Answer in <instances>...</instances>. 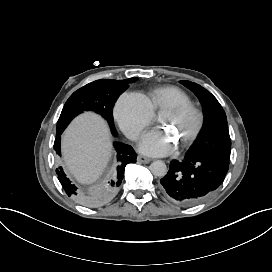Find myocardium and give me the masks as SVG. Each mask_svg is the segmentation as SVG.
<instances>
[{"label":"myocardium","instance_id":"myocardium-1","mask_svg":"<svg viewBox=\"0 0 272 272\" xmlns=\"http://www.w3.org/2000/svg\"><path fill=\"white\" fill-rule=\"evenodd\" d=\"M166 111L175 112L186 117L184 141H189L198 131L201 122V113L193 106L184 103H174L166 108Z\"/></svg>","mask_w":272,"mask_h":272}]
</instances>
